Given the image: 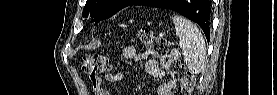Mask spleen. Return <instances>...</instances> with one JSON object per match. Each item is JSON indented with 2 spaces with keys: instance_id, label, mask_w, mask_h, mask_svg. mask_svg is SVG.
I'll return each mask as SVG.
<instances>
[{
  "instance_id": "3e777b00",
  "label": "spleen",
  "mask_w": 277,
  "mask_h": 95,
  "mask_svg": "<svg viewBox=\"0 0 277 95\" xmlns=\"http://www.w3.org/2000/svg\"><path fill=\"white\" fill-rule=\"evenodd\" d=\"M173 22L188 70L193 74L200 73L204 69L206 55L201 32L192 22L181 16H173Z\"/></svg>"
}]
</instances>
